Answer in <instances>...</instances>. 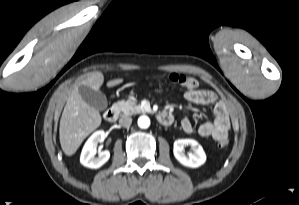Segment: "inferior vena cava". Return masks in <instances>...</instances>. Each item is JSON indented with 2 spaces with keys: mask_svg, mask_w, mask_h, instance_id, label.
<instances>
[{
  "mask_svg": "<svg viewBox=\"0 0 299 205\" xmlns=\"http://www.w3.org/2000/svg\"><path fill=\"white\" fill-rule=\"evenodd\" d=\"M131 123H132V118L129 116H122L119 119V124L123 127H130Z\"/></svg>",
  "mask_w": 299,
  "mask_h": 205,
  "instance_id": "602c4592",
  "label": "inferior vena cava"
}]
</instances>
